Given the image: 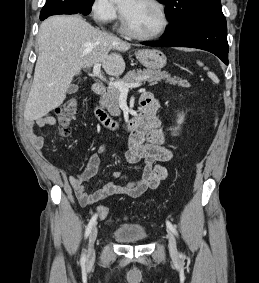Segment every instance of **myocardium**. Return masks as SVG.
I'll return each instance as SVG.
<instances>
[{
  "mask_svg": "<svg viewBox=\"0 0 259 283\" xmlns=\"http://www.w3.org/2000/svg\"><path fill=\"white\" fill-rule=\"evenodd\" d=\"M148 1L155 4L159 8V10L161 11V14H162V17H163L162 28L157 33H154V34L147 35V34L138 33L130 27V25L127 21V18L125 16L122 8L120 7L121 29L126 35H128L132 38H135V39H139V40H153V39L160 38L168 30V27H169V24H170V18H169V14H168V11L166 9V6L160 0H148Z\"/></svg>",
  "mask_w": 259,
  "mask_h": 283,
  "instance_id": "myocardium-1",
  "label": "myocardium"
}]
</instances>
